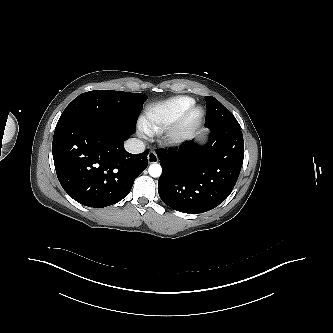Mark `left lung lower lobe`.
Wrapping results in <instances>:
<instances>
[{"label":"left lung lower lobe","mask_w":333,"mask_h":333,"mask_svg":"<svg viewBox=\"0 0 333 333\" xmlns=\"http://www.w3.org/2000/svg\"><path fill=\"white\" fill-rule=\"evenodd\" d=\"M207 126V125H206ZM209 143L194 140L176 151L158 150V193L169 207L198 214L221 204L233 190L244 157L240 126L212 125Z\"/></svg>","instance_id":"obj_1"}]
</instances>
